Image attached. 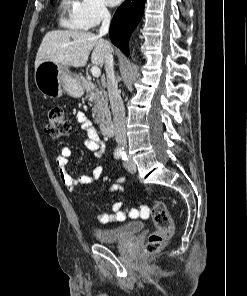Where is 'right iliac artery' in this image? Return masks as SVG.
<instances>
[{
  "label": "right iliac artery",
  "mask_w": 247,
  "mask_h": 296,
  "mask_svg": "<svg viewBox=\"0 0 247 296\" xmlns=\"http://www.w3.org/2000/svg\"><path fill=\"white\" fill-rule=\"evenodd\" d=\"M123 154H124V153H122L121 151H116V152L114 153V156H115L116 159H119L121 156H123Z\"/></svg>",
  "instance_id": "right-iliac-artery-1"
}]
</instances>
